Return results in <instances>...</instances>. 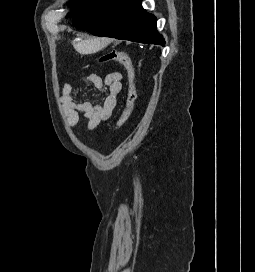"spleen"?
Masks as SVG:
<instances>
[{"label":"spleen","mask_w":255,"mask_h":272,"mask_svg":"<svg viewBox=\"0 0 255 272\" xmlns=\"http://www.w3.org/2000/svg\"><path fill=\"white\" fill-rule=\"evenodd\" d=\"M108 44L107 40L90 38L86 40H81L78 43H73V46L77 52L80 54H92L100 51Z\"/></svg>","instance_id":"3e777b00"}]
</instances>
